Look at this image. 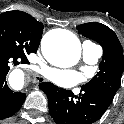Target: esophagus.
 <instances>
[{"mask_svg":"<svg viewBox=\"0 0 124 124\" xmlns=\"http://www.w3.org/2000/svg\"><path fill=\"white\" fill-rule=\"evenodd\" d=\"M44 80L45 79L43 77L39 76V75H37L36 78H35L36 82H40V81H44Z\"/></svg>","mask_w":124,"mask_h":124,"instance_id":"obj_1","label":"esophagus"}]
</instances>
